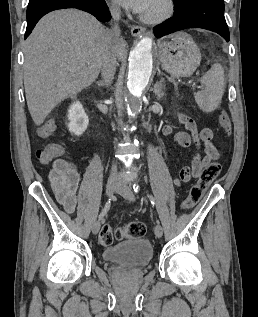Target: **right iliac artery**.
<instances>
[{
  "mask_svg": "<svg viewBox=\"0 0 258 317\" xmlns=\"http://www.w3.org/2000/svg\"><path fill=\"white\" fill-rule=\"evenodd\" d=\"M110 207H111V198H109L107 200L102 212L99 214V216H98L99 220H101L107 214V212L109 211Z\"/></svg>",
  "mask_w": 258,
  "mask_h": 317,
  "instance_id": "82829eb1",
  "label": "right iliac artery"
}]
</instances>
